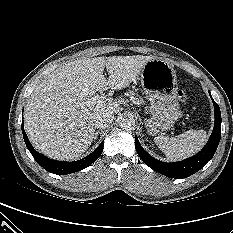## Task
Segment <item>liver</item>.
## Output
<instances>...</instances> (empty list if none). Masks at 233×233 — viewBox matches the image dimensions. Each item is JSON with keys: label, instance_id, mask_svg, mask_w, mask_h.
I'll list each match as a JSON object with an SVG mask.
<instances>
[{"label": "liver", "instance_id": "liver-1", "mask_svg": "<svg viewBox=\"0 0 233 233\" xmlns=\"http://www.w3.org/2000/svg\"><path fill=\"white\" fill-rule=\"evenodd\" d=\"M151 59L142 55L82 58L57 68L27 100L24 127L31 143L53 159L80 157L94 139V115L120 110L116 103L92 105L89 99L97 91L129 86ZM105 67L108 79L103 75Z\"/></svg>", "mask_w": 233, "mask_h": 233}]
</instances>
